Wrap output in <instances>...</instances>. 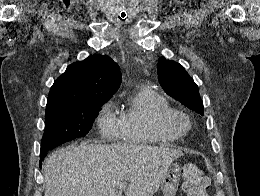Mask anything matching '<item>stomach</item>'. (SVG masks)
<instances>
[{"instance_id": "1", "label": "stomach", "mask_w": 260, "mask_h": 196, "mask_svg": "<svg viewBox=\"0 0 260 196\" xmlns=\"http://www.w3.org/2000/svg\"><path fill=\"white\" fill-rule=\"evenodd\" d=\"M181 178V168L179 164H171L164 178L161 180V190L163 196H176Z\"/></svg>"}]
</instances>
